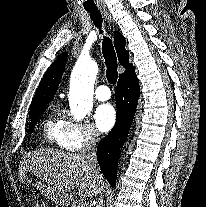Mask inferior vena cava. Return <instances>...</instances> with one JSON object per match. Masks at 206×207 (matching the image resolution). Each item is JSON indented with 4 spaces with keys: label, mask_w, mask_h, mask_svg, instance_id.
Wrapping results in <instances>:
<instances>
[{
    "label": "inferior vena cava",
    "mask_w": 206,
    "mask_h": 207,
    "mask_svg": "<svg viewBox=\"0 0 206 207\" xmlns=\"http://www.w3.org/2000/svg\"><path fill=\"white\" fill-rule=\"evenodd\" d=\"M98 134L92 130L87 135L85 142L83 144L82 151L80 152V156L87 161L89 169L93 173L94 180L98 186L99 191V200L96 207H101V201H102V190L100 188L99 179L101 177L99 165L97 162V155H96V145L98 142ZM91 207V206H89Z\"/></svg>",
    "instance_id": "602c4592"
}]
</instances>
